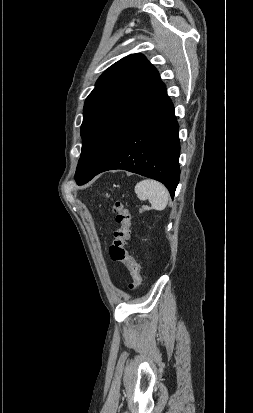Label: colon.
Masks as SVG:
<instances>
[{
	"mask_svg": "<svg viewBox=\"0 0 253 413\" xmlns=\"http://www.w3.org/2000/svg\"><path fill=\"white\" fill-rule=\"evenodd\" d=\"M106 199L111 203L112 211L115 214V220L119 225L114 232V240L109 247V255L113 261L122 262L127 266L132 278V282L129 284V289L131 291H136L142 284L140 265L125 249L130 238L131 216L121 201L110 198L108 194H106Z\"/></svg>",
	"mask_w": 253,
	"mask_h": 413,
	"instance_id": "obj_1",
	"label": "colon"
}]
</instances>
